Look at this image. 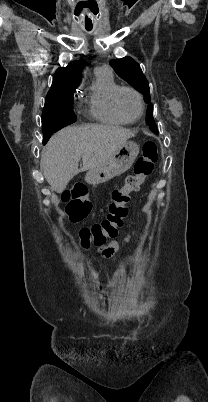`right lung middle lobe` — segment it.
Returning <instances> with one entry per match:
<instances>
[{"instance_id": "right-lung-middle-lobe-1", "label": "right lung middle lobe", "mask_w": 208, "mask_h": 402, "mask_svg": "<svg viewBox=\"0 0 208 402\" xmlns=\"http://www.w3.org/2000/svg\"><path fill=\"white\" fill-rule=\"evenodd\" d=\"M75 89L54 93L46 97L42 112V123L60 121L66 125L76 121V115L72 110V95ZM44 136L43 144H46Z\"/></svg>"}]
</instances>
